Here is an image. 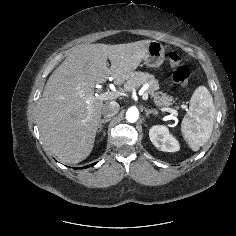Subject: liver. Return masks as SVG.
I'll use <instances>...</instances> for the list:
<instances>
[{
	"mask_svg": "<svg viewBox=\"0 0 236 236\" xmlns=\"http://www.w3.org/2000/svg\"><path fill=\"white\" fill-rule=\"evenodd\" d=\"M150 43L82 44L54 70L38 102V125L44 145L60 161L77 164L90 155L104 105L94 96L95 84L108 78L123 84Z\"/></svg>",
	"mask_w": 236,
	"mask_h": 236,
	"instance_id": "1",
	"label": "liver"
}]
</instances>
